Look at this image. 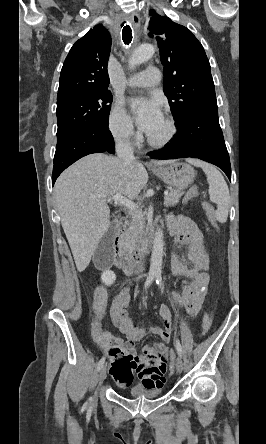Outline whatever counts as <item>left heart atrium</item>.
<instances>
[{
	"mask_svg": "<svg viewBox=\"0 0 266 444\" xmlns=\"http://www.w3.org/2000/svg\"><path fill=\"white\" fill-rule=\"evenodd\" d=\"M131 108L142 131L149 134L162 121L160 105L155 99H134Z\"/></svg>",
	"mask_w": 266,
	"mask_h": 444,
	"instance_id": "obj_1",
	"label": "left heart atrium"
}]
</instances>
